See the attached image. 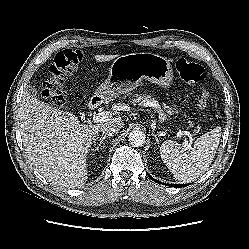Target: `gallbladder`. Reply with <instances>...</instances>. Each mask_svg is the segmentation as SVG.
<instances>
[{
  "label": "gallbladder",
  "mask_w": 249,
  "mask_h": 249,
  "mask_svg": "<svg viewBox=\"0 0 249 249\" xmlns=\"http://www.w3.org/2000/svg\"><path fill=\"white\" fill-rule=\"evenodd\" d=\"M25 90L26 92L34 96L38 94L37 88L34 85H28Z\"/></svg>",
  "instance_id": "obj_1"
}]
</instances>
